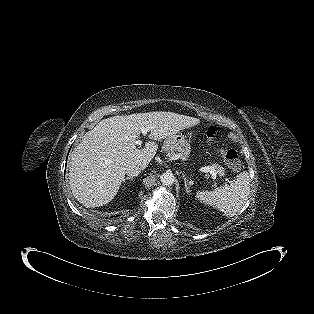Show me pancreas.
I'll return each mask as SVG.
<instances>
[{
    "instance_id": "1",
    "label": "pancreas",
    "mask_w": 314,
    "mask_h": 314,
    "mask_svg": "<svg viewBox=\"0 0 314 314\" xmlns=\"http://www.w3.org/2000/svg\"><path fill=\"white\" fill-rule=\"evenodd\" d=\"M168 145H169L168 142H164L163 147H164L165 150H166ZM167 153H168V156L177 155L174 151H167ZM178 156L180 157L179 154H178ZM212 167L215 169L216 174H218L219 176H224L225 175V169L221 165L213 164Z\"/></svg>"
}]
</instances>
